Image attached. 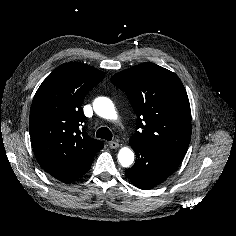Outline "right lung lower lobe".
I'll return each mask as SVG.
<instances>
[{"mask_svg": "<svg viewBox=\"0 0 236 236\" xmlns=\"http://www.w3.org/2000/svg\"><path fill=\"white\" fill-rule=\"evenodd\" d=\"M92 161L93 159L86 161L78 166L61 170L50 175L63 183H69L83 176L89 170Z\"/></svg>", "mask_w": 236, "mask_h": 236, "instance_id": "1", "label": "right lung lower lobe"}]
</instances>
